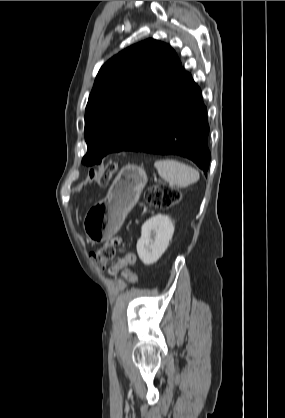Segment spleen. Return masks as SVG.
<instances>
[{
    "label": "spleen",
    "instance_id": "spleen-1",
    "mask_svg": "<svg viewBox=\"0 0 285 418\" xmlns=\"http://www.w3.org/2000/svg\"><path fill=\"white\" fill-rule=\"evenodd\" d=\"M154 166L164 180L180 187L191 185L200 177L199 172L191 166L172 159L157 160Z\"/></svg>",
    "mask_w": 285,
    "mask_h": 418
}]
</instances>
